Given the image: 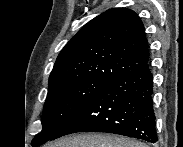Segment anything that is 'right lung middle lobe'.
<instances>
[{
  "mask_svg": "<svg viewBox=\"0 0 183 147\" xmlns=\"http://www.w3.org/2000/svg\"><path fill=\"white\" fill-rule=\"evenodd\" d=\"M109 82L84 79L49 87L42 115V131L35 136L37 147L59 132L62 125Z\"/></svg>",
  "mask_w": 183,
  "mask_h": 147,
  "instance_id": "obj_1",
  "label": "right lung middle lobe"
}]
</instances>
